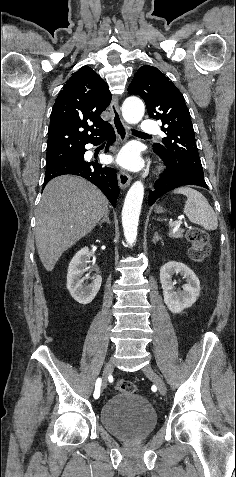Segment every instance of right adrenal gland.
<instances>
[{"label": "right adrenal gland", "instance_id": "obj_1", "mask_svg": "<svg viewBox=\"0 0 236 477\" xmlns=\"http://www.w3.org/2000/svg\"><path fill=\"white\" fill-rule=\"evenodd\" d=\"M104 222H107L108 224L111 223L110 220H109V212H106V214L104 215L103 219L100 221L99 226H102V224H103Z\"/></svg>", "mask_w": 236, "mask_h": 477}]
</instances>
